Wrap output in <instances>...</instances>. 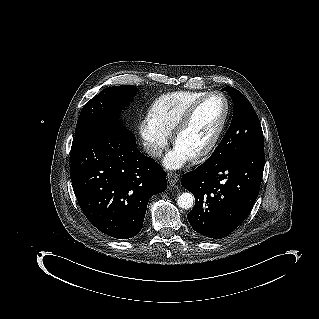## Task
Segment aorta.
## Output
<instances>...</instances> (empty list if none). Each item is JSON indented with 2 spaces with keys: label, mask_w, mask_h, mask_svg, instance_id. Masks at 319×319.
I'll return each mask as SVG.
<instances>
[{
  "label": "aorta",
  "mask_w": 319,
  "mask_h": 319,
  "mask_svg": "<svg viewBox=\"0 0 319 319\" xmlns=\"http://www.w3.org/2000/svg\"><path fill=\"white\" fill-rule=\"evenodd\" d=\"M193 203L194 196L189 192L182 193L177 199V205L182 209H190Z\"/></svg>",
  "instance_id": "1"
}]
</instances>
